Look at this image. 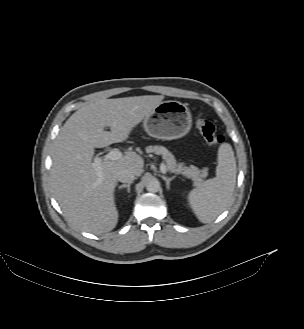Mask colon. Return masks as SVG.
I'll return each instance as SVG.
<instances>
[{"label": "colon", "mask_w": 304, "mask_h": 329, "mask_svg": "<svg viewBox=\"0 0 304 329\" xmlns=\"http://www.w3.org/2000/svg\"><path fill=\"white\" fill-rule=\"evenodd\" d=\"M196 126L209 145L218 147L224 143L225 138L217 134L214 124L209 119L199 116L196 119Z\"/></svg>", "instance_id": "5ec220e1"}]
</instances>
